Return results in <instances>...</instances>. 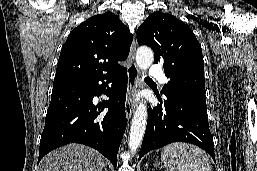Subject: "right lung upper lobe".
<instances>
[{"label":"right lung upper lobe","mask_w":257,"mask_h":171,"mask_svg":"<svg viewBox=\"0 0 257 171\" xmlns=\"http://www.w3.org/2000/svg\"><path fill=\"white\" fill-rule=\"evenodd\" d=\"M133 36L114 13L82 22L64 43L53 86L89 81L111 74L129 54Z\"/></svg>","instance_id":"obj_1"}]
</instances>
